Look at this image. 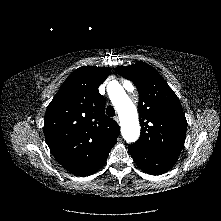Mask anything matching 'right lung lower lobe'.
Masks as SVG:
<instances>
[{
    "instance_id": "1",
    "label": "right lung lower lobe",
    "mask_w": 221,
    "mask_h": 221,
    "mask_svg": "<svg viewBox=\"0 0 221 221\" xmlns=\"http://www.w3.org/2000/svg\"><path fill=\"white\" fill-rule=\"evenodd\" d=\"M108 154H109V152L106 153L105 155H103V157H101L94 165H92L88 168H85L83 170L74 172V174L79 175V176H88V175L95 173L97 170H99L104 165V163L107 160Z\"/></svg>"
}]
</instances>
